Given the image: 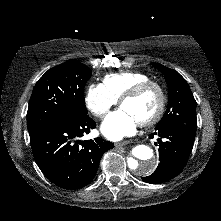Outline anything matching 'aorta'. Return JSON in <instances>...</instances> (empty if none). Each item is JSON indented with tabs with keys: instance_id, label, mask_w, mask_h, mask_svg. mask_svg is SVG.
<instances>
[{
	"instance_id": "obj_1",
	"label": "aorta",
	"mask_w": 221,
	"mask_h": 221,
	"mask_svg": "<svg viewBox=\"0 0 221 221\" xmlns=\"http://www.w3.org/2000/svg\"><path fill=\"white\" fill-rule=\"evenodd\" d=\"M132 157L128 159V165L137 175H147L154 172L157 160L154 151L147 145H137L131 151Z\"/></svg>"
}]
</instances>
